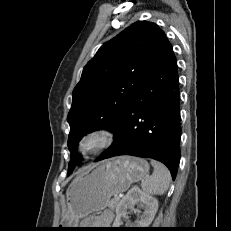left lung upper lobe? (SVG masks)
<instances>
[{
  "label": "left lung upper lobe",
  "instance_id": "left-lung-upper-lobe-1",
  "mask_svg": "<svg viewBox=\"0 0 231 231\" xmlns=\"http://www.w3.org/2000/svg\"><path fill=\"white\" fill-rule=\"evenodd\" d=\"M166 39L158 25L138 21L102 45L86 64L67 117L68 175L81 160L74 150L79 140L97 129L114 130Z\"/></svg>",
  "mask_w": 231,
  "mask_h": 231
}]
</instances>
